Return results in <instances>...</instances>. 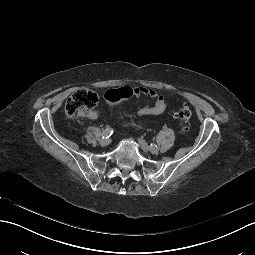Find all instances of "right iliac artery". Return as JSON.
Masks as SVG:
<instances>
[{
    "mask_svg": "<svg viewBox=\"0 0 255 255\" xmlns=\"http://www.w3.org/2000/svg\"><path fill=\"white\" fill-rule=\"evenodd\" d=\"M113 133V129L110 127H107L103 132H102V138L107 139L109 138Z\"/></svg>",
    "mask_w": 255,
    "mask_h": 255,
    "instance_id": "82829eb1",
    "label": "right iliac artery"
}]
</instances>
